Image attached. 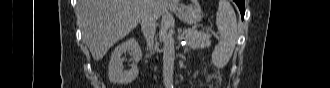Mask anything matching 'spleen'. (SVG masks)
Listing matches in <instances>:
<instances>
[{"mask_svg":"<svg viewBox=\"0 0 330 88\" xmlns=\"http://www.w3.org/2000/svg\"><path fill=\"white\" fill-rule=\"evenodd\" d=\"M216 24L221 39L212 53V62L222 68L229 62L239 37L236 15L228 0H220Z\"/></svg>","mask_w":330,"mask_h":88,"instance_id":"3e777b00","label":"spleen"}]
</instances>
